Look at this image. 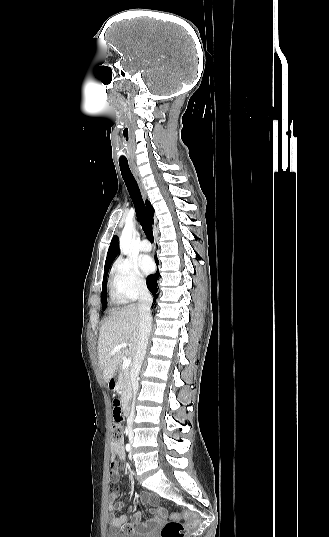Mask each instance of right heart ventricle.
Masks as SVG:
<instances>
[{"label": "right heart ventricle", "instance_id": "obj_1", "mask_svg": "<svg viewBox=\"0 0 329 537\" xmlns=\"http://www.w3.org/2000/svg\"><path fill=\"white\" fill-rule=\"evenodd\" d=\"M111 297L114 301L116 302H120L121 300L116 296V294L114 293V291L112 290L111 288Z\"/></svg>", "mask_w": 329, "mask_h": 537}]
</instances>
